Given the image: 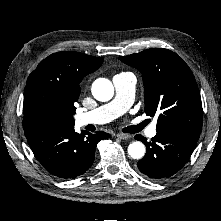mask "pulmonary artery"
I'll use <instances>...</instances> for the list:
<instances>
[{"mask_svg": "<svg viewBox=\"0 0 221 221\" xmlns=\"http://www.w3.org/2000/svg\"><path fill=\"white\" fill-rule=\"evenodd\" d=\"M116 91L115 98L92 111L82 113L76 117L79 126L88 124H104L122 115L132 104L135 93L136 79L132 73H121L113 78ZM156 124L153 123L147 130L149 137L156 135Z\"/></svg>", "mask_w": 221, "mask_h": 221, "instance_id": "obj_1", "label": "pulmonary artery"}]
</instances>
